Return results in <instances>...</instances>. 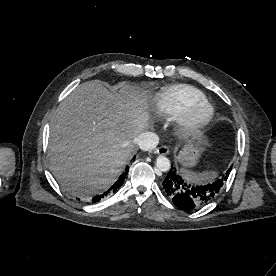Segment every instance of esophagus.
Listing matches in <instances>:
<instances>
[{"label":"esophagus","mask_w":276,"mask_h":276,"mask_svg":"<svg viewBox=\"0 0 276 276\" xmlns=\"http://www.w3.org/2000/svg\"><path fill=\"white\" fill-rule=\"evenodd\" d=\"M156 154L167 155L169 153V149L166 146H160L154 150Z\"/></svg>","instance_id":"1"}]
</instances>
